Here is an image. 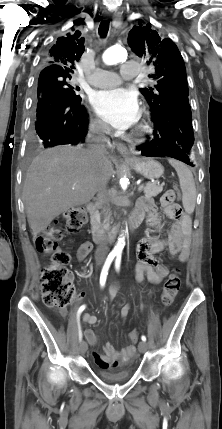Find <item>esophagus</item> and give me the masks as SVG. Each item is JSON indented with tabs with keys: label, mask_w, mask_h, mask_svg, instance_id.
<instances>
[{
	"label": "esophagus",
	"mask_w": 222,
	"mask_h": 429,
	"mask_svg": "<svg viewBox=\"0 0 222 429\" xmlns=\"http://www.w3.org/2000/svg\"><path fill=\"white\" fill-rule=\"evenodd\" d=\"M114 16H115L116 18L120 19V18H121V13H120V12H116V13L114 14ZM115 145H116V148H117L118 152H119L123 157H125V158H129V157H130V153H129V151H128L127 147H126L123 143H121V142H115Z\"/></svg>",
	"instance_id": "34e87169"
}]
</instances>
